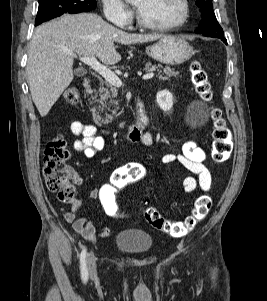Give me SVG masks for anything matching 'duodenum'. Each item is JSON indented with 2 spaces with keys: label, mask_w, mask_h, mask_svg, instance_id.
Here are the masks:
<instances>
[{
  "label": "duodenum",
  "mask_w": 267,
  "mask_h": 301,
  "mask_svg": "<svg viewBox=\"0 0 267 301\" xmlns=\"http://www.w3.org/2000/svg\"><path fill=\"white\" fill-rule=\"evenodd\" d=\"M83 87L87 94L92 93V84L89 80H85ZM150 119L145 111L143 101L139 99L136 102V123L134 126L128 128L122 137L128 142H138L141 140L144 130L149 125ZM107 132V131H106Z\"/></svg>",
  "instance_id": "obj_1"
}]
</instances>
